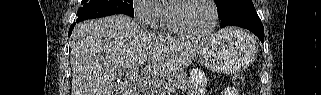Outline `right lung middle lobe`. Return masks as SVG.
<instances>
[{
  "label": "right lung middle lobe",
  "instance_id": "dd1d6c3e",
  "mask_svg": "<svg viewBox=\"0 0 321 95\" xmlns=\"http://www.w3.org/2000/svg\"><path fill=\"white\" fill-rule=\"evenodd\" d=\"M114 14L134 17L133 0H82L77 22Z\"/></svg>",
  "mask_w": 321,
  "mask_h": 95
}]
</instances>
